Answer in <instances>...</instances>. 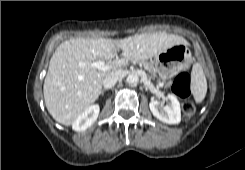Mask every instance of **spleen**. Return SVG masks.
I'll use <instances>...</instances> for the list:
<instances>
[{
  "label": "spleen",
  "instance_id": "obj_1",
  "mask_svg": "<svg viewBox=\"0 0 245 170\" xmlns=\"http://www.w3.org/2000/svg\"><path fill=\"white\" fill-rule=\"evenodd\" d=\"M191 91L196 103H201L207 92V81L200 63H196L191 71Z\"/></svg>",
  "mask_w": 245,
  "mask_h": 170
}]
</instances>
